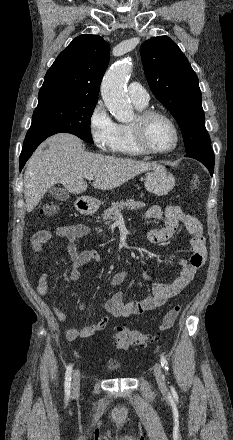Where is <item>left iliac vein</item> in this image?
I'll return each instance as SVG.
<instances>
[{
    "mask_svg": "<svg viewBox=\"0 0 233 440\" xmlns=\"http://www.w3.org/2000/svg\"><path fill=\"white\" fill-rule=\"evenodd\" d=\"M154 375L160 390L163 392L166 391L167 390L166 381L162 372V367L159 363H156L154 365Z\"/></svg>",
    "mask_w": 233,
    "mask_h": 440,
    "instance_id": "1",
    "label": "left iliac vein"
}]
</instances>
